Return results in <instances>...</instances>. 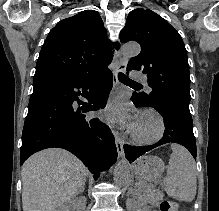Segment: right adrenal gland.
Masks as SVG:
<instances>
[{
    "label": "right adrenal gland",
    "mask_w": 219,
    "mask_h": 211,
    "mask_svg": "<svg viewBox=\"0 0 219 211\" xmlns=\"http://www.w3.org/2000/svg\"><path fill=\"white\" fill-rule=\"evenodd\" d=\"M84 191V187H81V189H79L78 193H83ZM78 193H76V195H78Z\"/></svg>",
    "instance_id": "2a0ac1e0"
}]
</instances>
